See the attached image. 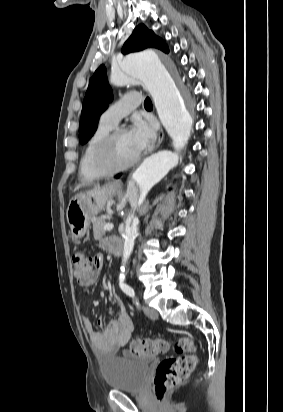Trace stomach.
I'll return each mask as SVG.
<instances>
[{
	"label": "stomach",
	"instance_id": "obj_1",
	"mask_svg": "<svg viewBox=\"0 0 283 412\" xmlns=\"http://www.w3.org/2000/svg\"><path fill=\"white\" fill-rule=\"evenodd\" d=\"M118 190L113 184H106L79 193L70 200L66 217L73 239L78 240L85 235L92 217L104 210L106 202L113 198Z\"/></svg>",
	"mask_w": 283,
	"mask_h": 412
}]
</instances>
